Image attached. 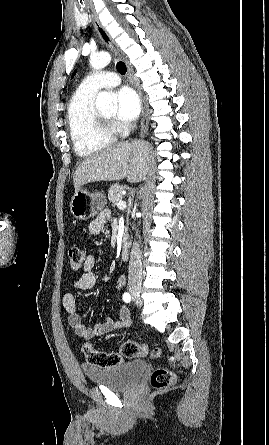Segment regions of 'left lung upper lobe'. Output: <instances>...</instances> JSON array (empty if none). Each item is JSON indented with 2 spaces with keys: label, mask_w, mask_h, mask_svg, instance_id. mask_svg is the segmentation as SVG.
I'll return each mask as SVG.
<instances>
[{
  "label": "left lung upper lobe",
  "mask_w": 269,
  "mask_h": 445,
  "mask_svg": "<svg viewBox=\"0 0 269 445\" xmlns=\"http://www.w3.org/2000/svg\"><path fill=\"white\" fill-rule=\"evenodd\" d=\"M75 74H76V70H75L74 73L72 74V77H71V78H73Z\"/></svg>",
  "instance_id": "1"
}]
</instances>
